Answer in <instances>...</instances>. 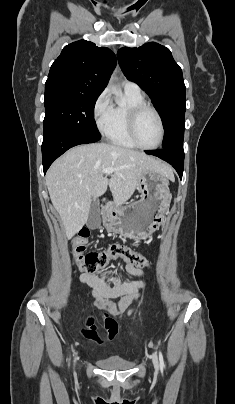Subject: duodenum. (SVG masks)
<instances>
[{
	"label": "duodenum",
	"instance_id": "410a0bca",
	"mask_svg": "<svg viewBox=\"0 0 235 404\" xmlns=\"http://www.w3.org/2000/svg\"><path fill=\"white\" fill-rule=\"evenodd\" d=\"M101 210L105 216H108L112 213L111 205L109 203H106L105 201H103L101 204Z\"/></svg>",
	"mask_w": 235,
	"mask_h": 404
}]
</instances>
